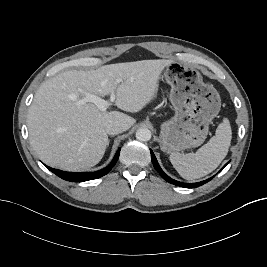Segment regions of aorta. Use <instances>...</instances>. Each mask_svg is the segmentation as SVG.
Returning a JSON list of instances; mask_svg holds the SVG:
<instances>
[{"instance_id": "obj_1", "label": "aorta", "mask_w": 267, "mask_h": 267, "mask_svg": "<svg viewBox=\"0 0 267 267\" xmlns=\"http://www.w3.org/2000/svg\"><path fill=\"white\" fill-rule=\"evenodd\" d=\"M151 131L148 128L141 127L136 131V139L138 141L147 142L151 139Z\"/></svg>"}]
</instances>
